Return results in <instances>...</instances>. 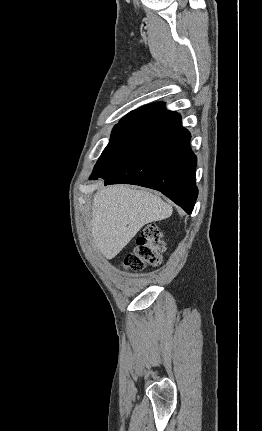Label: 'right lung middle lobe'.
Here are the masks:
<instances>
[{
	"label": "right lung middle lobe",
	"instance_id": "dd1d6c3e",
	"mask_svg": "<svg viewBox=\"0 0 262 431\" xmlns=\"http://www.w3.org/2000/svg\"><path fill=\"white\" fill-rule=\"evenodd\" d=\"M127 126L116 125L113 129L109 144L104 149L103 153L128 129ZM102 153V154H103Z\"/></svg>",
	"mask_w": 262,
	"mask_h": 431
}]
</instances>
